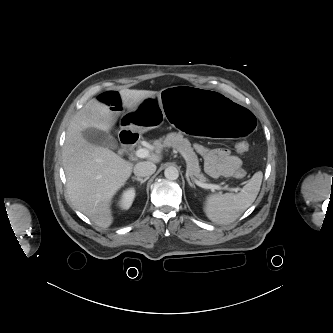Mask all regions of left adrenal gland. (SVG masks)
<instances>
[{
    "label": "left adrenal gland",
    "mask_w": 333,
    "mask_h": 333,
    "mask_svg": "<svg viewBox=\"0 0 333 333\" xmlns=\"http://www.w3.org/2000/svg\"><path fill=\"white\" fill-rule=\"evenodd\" d=\"M187 180H188L189 185L191 186L192 184H191V182H190V179H187Z\"/></svg>",
    "instance_id": "obj_1"
}]
</instances>
